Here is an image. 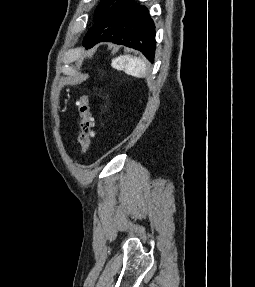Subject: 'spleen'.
Here are the masks:
<instances>
[{
  "label": "spleen",
  "mask_w": 255,
  "mask_h": 287,
  "mask_svg": "<svg viewBox=\"0 0 255 287\" xmlns=\"http://www.w3.org/2000/svg\"><path fill=\"white\" fill-rule=\"evenodd\" d=\"M115 70H124L129 76H135V78H143L146 74V66L144 60L140 58H132V56H119L114 58L111 64Z\"/></svg>",
  "instance_id": "3e777b00"
}]
</instances>
